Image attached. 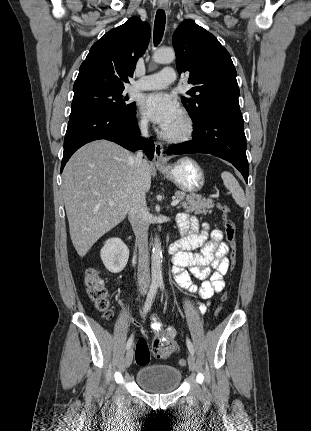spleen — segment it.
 <instances>
[{
  "label": "spleen",
  "instance_id": "1",
  "mask_svg": "<svg viewBox=\"0 0 311 431\" xmlns=\"http://www.w3.org/2000/svg\"><path fill=\"white\" fill-rule=\"evenodd\" d=\"M221 178L223 180V184L227 190H230L232 194L233 200H235L236 204L240 206V208H244L246 198L244 196V192L242 188H240L236 178L230 174V172H222Z\"/></svg>",
  "mask_w": 311,
  "mask_h": 431
}]
</instances>
